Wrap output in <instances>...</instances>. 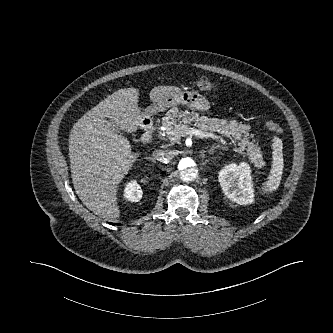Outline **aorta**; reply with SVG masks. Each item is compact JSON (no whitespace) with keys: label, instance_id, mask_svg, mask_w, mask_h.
I'll return each instance as SVG.
<instances>
[{"label":"aorta","instance_id":"762f6f07","mask_svg":"<svg viewBox=\"0 0 333 333\" xmlns=\"http://www.w3.org/2000/svg\"><path fill=\"white\" fill-rule=\"evenodd\" d=\"M176 168L180 178L185 182L194 181L198 177V167L191 157H179L176 160Z\"/></svg>","mask_w":333,"mask_h":333}]
</instances>
